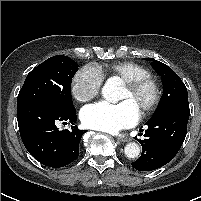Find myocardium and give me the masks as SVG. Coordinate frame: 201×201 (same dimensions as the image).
<instances>
[{
  "instance_id": "myocardium-1",
  "label": "myocardium",
  "mask_w": 201,
  "mask_h": 201,
  "mask_svg": "<svg viewBox=\"0 0 201 201\" xmlns=\"http://www.w3.org/2000/svg\"><path fill=\"white\" fill-rule=\"evenodd\" d=\"M124 86L132 93L141 90L144 87H149L151 90L150 101L139 111L140 117H146L151 114L159 105L161 99V86L159 82L152 76H144L124 82Z\"/></svg>"
}]
</instances>
